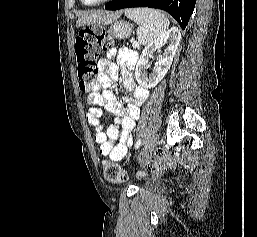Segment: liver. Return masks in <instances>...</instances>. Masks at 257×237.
I'll use <instances>...</instances> for the list:
<instances>
[{
    "instance_id": "liver-1",
    "label": "liver",
    "mask_w": 257,
    "mask_h": 237,
    "mask_svg": "<svg viewBox=\"0 0 257 237\" xmlns=\"http://www.w3.org/2000/svg\"><path fill=\"white\" fill-rule=\"evenodd\" d=\"M122 14L121 11L116 12L115 14H109V13H103V12H94L90 15H84L81 18L78 19L76 22V26L80 27L85 24L89 23H111L115 20H117L120 15Z\"/></svg>"
}]
</instances>
